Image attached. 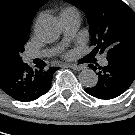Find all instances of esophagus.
<instances>
[{"label":"esophagus","mask_w":135,"mask_h":135,"mask_svg":"<svg viewBox=\"0 0 135 135\" xmlns=\"http://www.w3.org/2000/svg\"><path fill=\"white\" fill-rule=\"evenodd\" d=\"M69 67L76 71H81L85 68L84 65H80V64L79 65H77V64L69 65Z\"/></svg>","instance_id":"obj_1"}]
</instances>
